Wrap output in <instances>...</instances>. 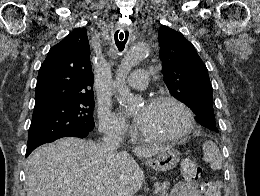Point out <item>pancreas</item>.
Returning a JSON list of instances; mask_svg holds the SVG:
<instances>
[{
  "label": "pancreas",
  "instance_id": "cf45deb5",
  "mask_svg": "<svg viewBox=\"0 0 260 196\" xmlns=\"http://www.w3.org/2000/svg\"><path fill=\"white\" fill-rule=\"evenodd\" d=\"M169 186H170L169 182H163V184H157V186H155V190L156 192H158V196H166Z\"/></svg>",
  "mask_w": 260,
  "mask_h": 196
}]
</instances>
